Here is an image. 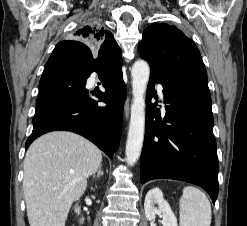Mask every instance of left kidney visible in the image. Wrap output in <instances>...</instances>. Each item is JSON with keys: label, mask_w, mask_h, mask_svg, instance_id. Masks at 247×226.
<instances>
[{"label": "left kidney", "mask_w": 247, "mask_h": 226, "mask_svg": "<svg viewBox=\"0 0 247 226\" xmlns=\"http://www.w3.org/2000/svg\"><path fill=\"white\" fill-rule=\"evenodd\" d=\"M155 205H158V207H155ZM144 210L147 219L151 223L155 221L157 213H162L164 226H178L176 216L159 188H153L148 191L144 201Z\"/></svg>", "instance_id": "5707ae66"}]
</instances>
